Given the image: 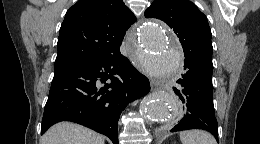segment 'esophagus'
<instances>
[{
    "label": "esophagus",
    "mask_w": 260,
    "mask_h": 144,
    "mask_svg": "<svg viewBox=\"0 0 260 144\" xmlns=\"http://www.w3.org/2000/svg\"><path fill=\"white\" fill-rule=\"evenodd\" d=\"M153 85H156V83H155V82H152V86H153Z\"/></svg>",
    "instance_id": "esophagus-1"
}]
</instances>
